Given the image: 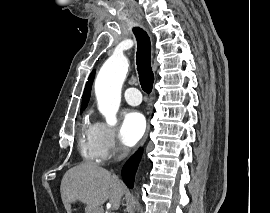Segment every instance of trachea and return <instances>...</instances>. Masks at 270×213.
<instances>
[{"label": "trachea", "mask_w": 270, "mask_h": 213, "mask_svg": "<svg viewBox=\"0 0 270 213\" xmlns=\"http://www.w3.org/2000/svg\"><path fill=\"white\" fill-rule=\"evenodd\" d=\"M133 32L137 39V53H136V64L137 71L139 74V81L142 89L146 93L152 91L154 83V74L151 67V42L147 33L139 28L135 27Z\"/></svg>", "instance_id": "obj_1"}]
</instances>
